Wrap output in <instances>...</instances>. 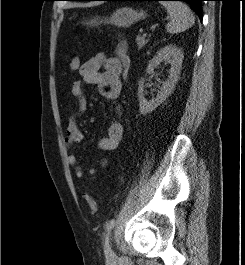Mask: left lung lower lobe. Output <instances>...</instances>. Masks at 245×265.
<instances>
[{
    "label": "left lung lower lobe",
    "instance_id": "obj_1",
    "mask_svg": "<svg viewBox=\"0 0 245 265\" xmlns=\"http://www.w3.org/2000/svg\"><path fill=\"white\" fill-rule=\"evenodd\" d=\"M80 1H101V0H80ZM105 1H167V0H105ZM176 1H184L188 3L202 20V1L205 0H176Z\"/></svg>",
    "mask_w": 245,
    "mask_h": 265
}]
</instances>
